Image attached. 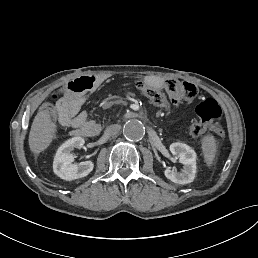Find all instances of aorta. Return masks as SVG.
Listing matches in <instances>:
<instances>
[{
	"label": "aorta",
	"instance_id": "1",
	"mask_svg": "<svg viewBox=\"0 0 258 258\" xmlns=\"http://www.w3.org/2000/svg\"><path fill=\"white\" fill-rule=\"evenodd\" d=\"M145 134V127L139 120H129L123 127V135L130 141H140Z\"/></svg>",
	"mask_w": 258,
	"mask_h": 258
}]
</instances>
